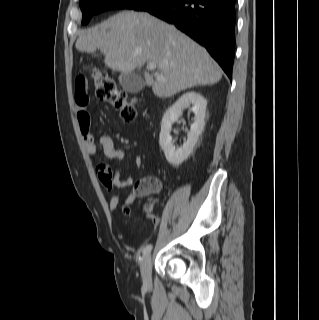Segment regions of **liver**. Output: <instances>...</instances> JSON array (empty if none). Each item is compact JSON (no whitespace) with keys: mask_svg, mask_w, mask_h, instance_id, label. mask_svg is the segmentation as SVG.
<instances>
[{"mask_svg":"<svg viewBox=\"0 0 319 320\" xmlns=\"http://www.w3.org/2000/svg\"><path fill=\"white\" fill-rule=\"evenodd\" d=\"M78 51L104 55L107 67L132 73L146 62L157 66L155 75L144 72L145 84L167 98L197 85L220 81L222 71L209 53L190 37L148 13L124 11L83 31ZM161 75L164 79H157Z\"/></svg>","mask_w":319,"mask_h":320,"instance_id":"6515ba94","label":"liver"}]
</instances>
